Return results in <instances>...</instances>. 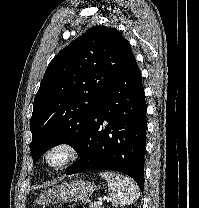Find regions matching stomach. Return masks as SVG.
<instances>
[{
  "label": "stomach",
  "mask_w": 199,
  "mask_h": 208,
  "mask_svg": "<svg viewBox=\"0 0 199 208\" xmlns=\"http://www.w3.org/2000/svg\"><path fill=\"white\" fill-rule=\"evenodd\" d=\"M97 187L94 183L85 180H75L63 183L42 193L36 203L45 205L54 202H71L91 196Z\"/></svg>",
  "instance_id": "0dacf381"
}]
</instances>
